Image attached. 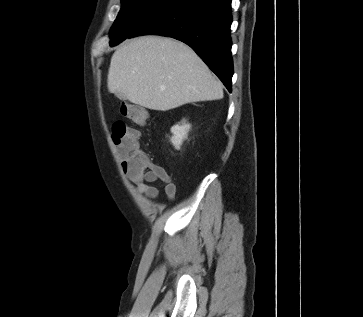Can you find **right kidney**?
Returning a JSON list of instances; mask_svg holds the SVG:
<instances>
[{
  "mask_svg": "<svg viewBox=\"0 0 363 317\" xmlns=\"http://www.w3.org/2000/svg\"><path fill=\"white\" fill-rule=\"evenodd\" d=\"M190 128V124L186 123L185 120L182 121V124H177L171 128L173 136L171 137L170 141L176 149H180L183 140L188 136Z\"/></svg>",
  "mask_w": 363,
  "mask_h": 317,
  "instance_id": "right-kidney-1",
  "label": "right kidney"
}]
</instances>
